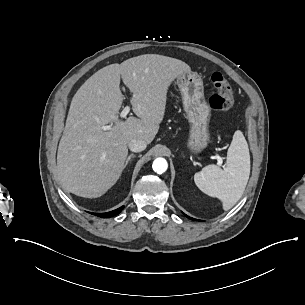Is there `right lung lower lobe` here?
<instances>
[{
  "mask_svg": "<svg viewBox=\"0 0 305 305\" xmlns=\"http://www.w3.org/2000/svg\"><path fill=\"white\" fill-rule=\"evenodd\" d=\"M123 208H124V206H122V207H120V208H118L116 210L107 212V213H100V214H94L93 213V214L96 215V216H99V217L108 218V217H112V216H115V215L119 214L122 211Z\"/></svg>",
  "mask_w": 305,
  "mask_h": 305,
  "instance_id": "obj_1",
  "label": "right lung lower lobe"
}]
</instances>
